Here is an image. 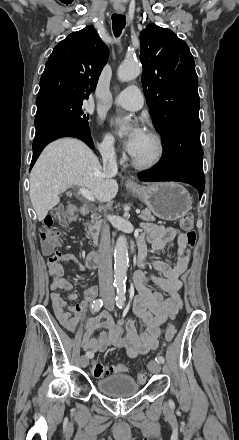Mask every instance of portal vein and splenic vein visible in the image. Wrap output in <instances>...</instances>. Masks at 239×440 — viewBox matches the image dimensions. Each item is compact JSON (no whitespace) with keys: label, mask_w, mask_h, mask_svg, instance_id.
I'll return each instance as SVG.
<instances>
[{"label":"portal vein and splenic vein","mask_w":239,"mask_h":440,"mask_svg":"<svg viewBox=\"0 0 239 440\" xmlns=\"http://www.w3.org/2000/svg\"><path fill=\"white\" fill-rule=\"evenodd\" d=\"M80 192L86 200H89V202H95L94 196H92V192H89V190H86V188H80ZM137 215H140L139 209H136Z\"/></svg>","instance_id":"1"}]
</instances>
